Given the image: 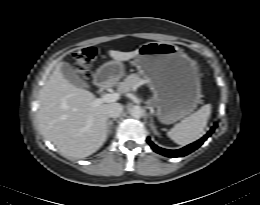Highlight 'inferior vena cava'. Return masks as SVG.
Listing matches in <instances>:
<instances>
[{
	"instance_id": "obj_1",
	"label": "inferior vena cava",
	"mask_w": 260,
	"mask_h": 205,
	"mask_svg": "<svg viewBox=\"0 0 260 205\" xmlns=\"http://www.w3.org/2000/svg\"><path fill=\"white\" fill-rule=\"evenodd\" d=\"M123 106L120 103L110 104L107 108V116L110 118H117L122 113Z\"/></svg>"
}]
</instances>
